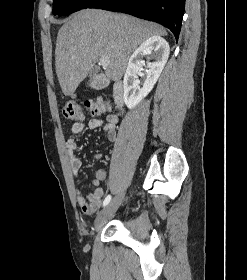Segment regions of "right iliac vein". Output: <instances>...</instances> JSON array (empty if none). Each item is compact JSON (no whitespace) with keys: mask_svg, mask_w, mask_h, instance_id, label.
Returning a JSON list of instances; mask_svg holds the SVG:
<instances>
[{"mask_svg":"<svg viewBox=\"0 0 247 280\" xmlns=\"http://www.w3.org/2000/svg\"><path fill=\"white\" fill-rule=\"evenodd\" d=\"M124 194L121 193L113 198V200L99 213L95 220V228H100L104 222L112 216L123 200Z\"/></svg>","mask_w":247,"mask_h":280,"instance_id":"63e3f726","label":"right iliac vein"}]
</instances>
